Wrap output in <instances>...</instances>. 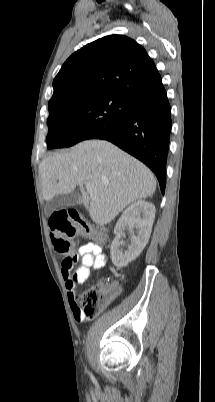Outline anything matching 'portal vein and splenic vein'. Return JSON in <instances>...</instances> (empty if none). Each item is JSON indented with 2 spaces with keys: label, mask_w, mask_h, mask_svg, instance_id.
<instances>
[{
  "label": "portal vein and splenic vein",
  "mask_w": 215,
  "mask_h": 402,
  "mask_svg": "<svg viewBox=\"0 0 215 402\" xmlns=\"http://www.w3.org/2000/svg\"><path fill=\"white\" fill-rule=\"evenodd\" d=\"M86 190L90 194L91 197L96 198L97 192L93 184L86 183Z\"/></svg>",
  "instance_id": "portal-vein-and-splenic-vein-1"
}]
</instances>
